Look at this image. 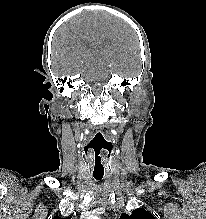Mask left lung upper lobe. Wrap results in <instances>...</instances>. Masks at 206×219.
Returning <instances> with one entry per match:
<instances>
[{
	"instance_id": "obj_1",
	"label": "left lung upper lobe",
	"mask_w": 206,
	"mask_h": 219,
	"mask_svg": "<svg viewBox=\"0 0 206 219\" xmlns=\"http://www.w3.org/2000/svg\"><path fill=\"white\" fill-rule=\"evenodd\" d=\"M119 219H155V217L144 208H138L132 211V214H121Z\"/></svg>"
}]
</instances>
